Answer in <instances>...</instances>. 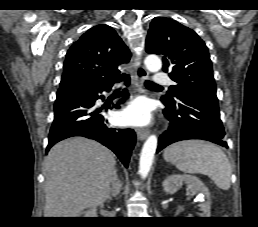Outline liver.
<instances>
[{
	"instance_id": "obj_1",
	"label": "liver",
	"mask_w": 258,
	"mask_h": 227,
	"mask_svg": "<svg viewBox=\"0 0 258 227\" xmlns=\"http://www.w3.org/2000/svg\"><path fill=\"white\" fill-rule=\"evenodd\" d=\"M116 161L94 140L73 137L54 145L44 160L45 217H77L110 196Z\"/></svg>"
}]
</instances>
